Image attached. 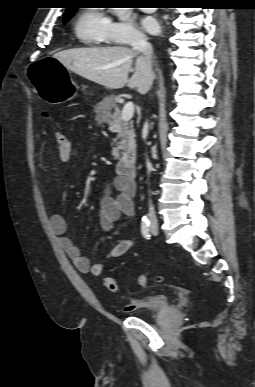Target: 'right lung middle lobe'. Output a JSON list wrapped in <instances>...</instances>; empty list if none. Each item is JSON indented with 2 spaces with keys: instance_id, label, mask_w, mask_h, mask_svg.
Here are the masks:
<instances>
[{
  "instance_id": "1",
  "label": "right lung middle lobe",
  "mask_w": 255,
  "mask_h": 387,
  "mask_svg": "<svg viewBox=\"0 0 255 387\" xmlns=\"http://www.w3.org/2000/svg\"><path fill=\"white\" fill-rule=\"evenodd\" d=\"M75 9L74 8H71L69 10L66 11V14L64 16V23H66L67 21H69V19L73 16V14L75 13Z\"/></svg>"
}]
</instances>
